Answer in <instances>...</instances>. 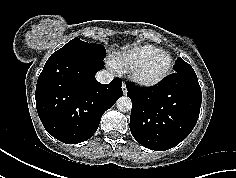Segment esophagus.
I'll return each mask as SVG.
<instances>
[{"instance_id": "esophagus-1", "label": "esophagus", "mask_w": 236, "mask_h": 178, "mask_svg": "<svg viewBox=\"0 0 236 178\" xmlns=\"http://www.w3.org/2000/svg\"><path fill=\"white\" fill-rule=\"evenodd\" d=\"M122 92H123L124 95L127 94V88H126L125 83H122Z\"/></svg>"}]
</instances>
